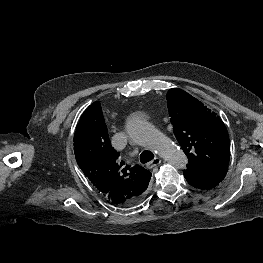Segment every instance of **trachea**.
Wrapping results in <instances>:
<instances>
[{"instance_id": "1", "label": "trachea", "mask_w": 263, "mask_h": 263, "mask_svg": "<svg viewBox=\"0 0 263 263\" xmlns=\"http://www.w3.org/2000/svg\"><path fill=\"white\" fill-rule=\"evenodd\" d=\"M154 158V154L148 150L143 151L140 154V161L141 163H147Z\"/></svg>"}]
</instances>
